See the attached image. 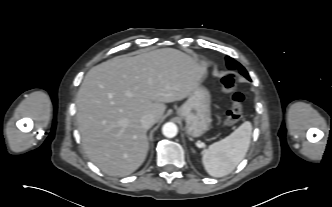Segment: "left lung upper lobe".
Masks as SVG:
<instances>
[{
  "mask_svg": "<svg viewBox=\"0 0 332 207\" xmlns=\"http://www.w3.org/2000/svg\"><path fill=\"white\" fill-rule=\"evenodd\" d=\"M226 62H227V67L230 70H238L243 76H245L248 80H250V77H249L247 71L240 63H238L237 61H235L234 59H232L229 56H226Z\"/></svg>",
  "mask_w": 332,
  "mask_h": 207,
  "instance_id": "left-lung-upper-lobe-1",
  "label": "left lung upper lobe"
}]
</instances>
